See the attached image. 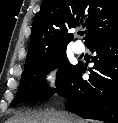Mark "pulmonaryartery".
<instances>
[{"mask_svg":"<svg viewBox=\"0 0 118 123\" xmlns=\"http://www.w3.org/2000/svg\"><path fill=\"white\" fill-rule=\"evenodd\" d=\"M73 51L76 53V54H82L84 51H85V46L83 43L81 42H76L74 43L73 45Z\"/></svg>","mask_w":118,"mask_h":123,"instance_id":"e3ab8cb5","label":"pulmonary artery"}]
</instances>
